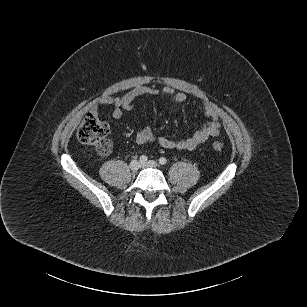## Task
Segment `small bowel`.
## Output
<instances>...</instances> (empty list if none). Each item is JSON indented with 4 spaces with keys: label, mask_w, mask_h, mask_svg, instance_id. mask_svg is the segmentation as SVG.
<instances>
[{
    "label": "small bowel",
    "mask_w": 307,
    "mask_h": 307,
    "mask_svg": "<svg viewBox=\"0 0 307 307\" xmlns=\"http://www.w3.org/2000/svg\"><path fill=\"white\" fill-rule=\"evenodd\" d=\"M158 93V90L147 86H137L122 96H109L99 102V106H111L112 116L119 119L125 111L133 108V103L138 97L151 96ZM163 93L170 96L175 105L183 104L187 96L182 92H176L170 87L163 88ZM201 110L207 119L206 123L191 136L183 140H172L167 137H159L158 144L165 149L179 151H191L206 142L209 138L217 137L220 134L219 117L214 107L208 102L200 103ZM98 105L94 107L93 113H97ZM155 139V134L150 127L141 128L135 135L138 144H145Z\"/></svg>",
    "instance_id": "1"
}]
</instances>
